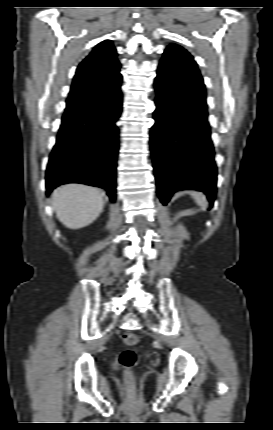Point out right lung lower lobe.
I'll return each mask as SVG.
<instances>
[{"label":"right lung lower lobe","instance_id":"right-lung-lower-lobe-1","mask_svg":"<svg viewBox=\"0 0 273 430\" xmlns=\"http://www.w3.org/2000/svg\"><path fill=\"white\" fill-rule=\"evenodd\" d=\"M120 85L121 78L103 79L84 106L63 115L46 171L47 193L62 184L83 183L105 189L115 201Z\"/></svg>","mask_w":273,"mask_h":430}]
</instances>
